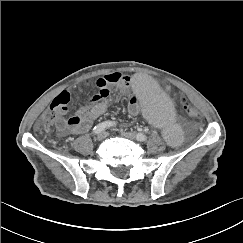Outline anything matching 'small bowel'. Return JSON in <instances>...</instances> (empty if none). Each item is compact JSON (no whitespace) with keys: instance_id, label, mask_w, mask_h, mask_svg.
<instances>
[{"instance_id":"c3829d8e","label":"small bowel","mask_w":243,"mask_h":243,"mask_svg":"<svg viewBox=\"0 0 243 243\" xmlns=\"http://www.w3.org/2000/svg\"><path fill=\"white\" fill-rule=\"evenodd\" d=\"M131 84V79L120 73L107 74L96 81L97 92L80 109L68 119L62 117L66 111L59 113L56 118V128L61 135L86 133L93 122L103 115L108 108L119 98L111 96V89L116 88L120 96L127 94ZM133 116L140 112V106L132 98L128 109Z\"/></svg>"}]
</instances>
